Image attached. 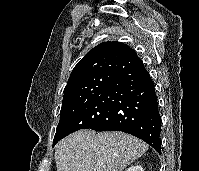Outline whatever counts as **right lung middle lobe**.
<instances>
[{
    "label": "right lung middle lobe",
    "instance_id": "right-lung-middle-lobe-1",
    "mask_svg": "<svg viewBox=\"0 0 199 171\" xmlns=\"http://www.w3.org/2000/svg\"><path fill=\"white\" fill-rule=\"evenodd\" d=\"M114 76L109 74L95 75L68 91H64L60 121L53 140V146L61 139L66 127L79 112V110L91 99V97Z\"/></svg>",
    "mask_w": 199,
    "mask_h": 171
}]
</instances>
